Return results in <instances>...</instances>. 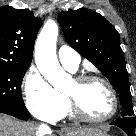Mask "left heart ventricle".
Returning a JSON list of instances; mask_svg holds the SVG:
<instances>
[{
  "label": "left heart ventricle",
  "mask_w": 136,
  "mask_h": 136,
  "mask_svg": "<svg viewBox=\"0 0 136 136\" xmlns=\"http://www.w3.org/2000/svg\"><path fill=\"white\" fill-rule=\"evenodd\" d=\"M75 96L84 113L93 118H102L112 110V98L107 87L98 81L78 87L73 81L66 90Z\"/></svg>",
  "instance_id": "1"
}]
</instances>
